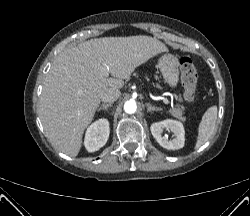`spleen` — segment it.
Returning <instances> with one entry per match:
<instances>
[{
  "label": "spleen",
  "mask_w": 250,
  "mask_h": 216,
  "mask_svg": "<svg viewBox=\"0 0 250 216\" xmlns=\"http://www.w3.org/2000/svg\"><path fill=\"white\" fill-rule=\"evenodd\" d=\"M218 108L216 105L209 107L198 126V136L195 149L200 148L211 137L215 130Z\"/></svg>",
  "instance_id": "1"
}]
</instances>
